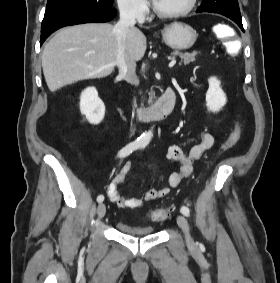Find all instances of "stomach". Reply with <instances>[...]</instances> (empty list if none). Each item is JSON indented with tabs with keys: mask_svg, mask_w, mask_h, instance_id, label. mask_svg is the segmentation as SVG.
I'll return each instance as SVG.
<instances>
[{
	"mask_svg": "<svg viewBox=\"0 0 280 283\" xmlns=\"http://www.w3.org/2000/svg\"><path fill=\"white\" fill-rule=\"evenodd\" d=\"M166 45L175 50H186L193 46L197 39L196 31L188 24L174 22L162 30Z\"/></svg>",
	"mask_w": 280,
	"mask_h": 283,
	"instance_id": "0dacf381",
	"label": "stomach"
}]
</instances>
